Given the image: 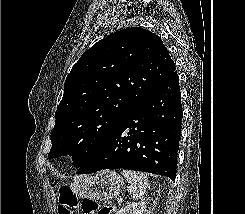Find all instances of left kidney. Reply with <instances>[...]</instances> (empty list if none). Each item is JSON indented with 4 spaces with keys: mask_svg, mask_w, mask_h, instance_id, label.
<instances>
[{
    "mask_svg": "<svg viewBox=\"0 0 245 214\" xmlns=\"http://www.w3.org/2000/svg\"><path fill=\"white\" fill-rule=\"evenodd\" d=\"M146 202H134L123 207L117 214H145Z\"/></svg>",
    "mask_w": 245,
    "mask_h": 214,
    "instance_id": "5707ae66",
    "label": "left kidney"
}]
</instances>
